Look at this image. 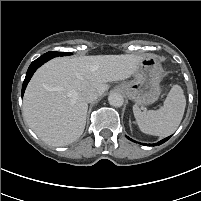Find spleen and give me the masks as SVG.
<instances>
[{"label": "spleen", "instance_id": "3e777b00", "mask_svg": "<svg viewBox=\"0 0 201 201\" xmlns=\"http://www.w3.org/2000/svg\"><path fill=\"white\" fill-rule=\"evenodd\" d=\"M186 99L182 88L174 85L158 110L142 112L133 106L136 123L143 133L166 137L173 134L178 128L185 111Z\"/></svg>", "mask_w": 201, "mask_h": 201}]
</instances>
